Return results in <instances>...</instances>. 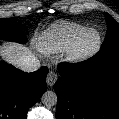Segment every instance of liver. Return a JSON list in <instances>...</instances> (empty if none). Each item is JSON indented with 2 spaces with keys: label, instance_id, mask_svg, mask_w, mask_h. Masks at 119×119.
Returning a JSON list of instances; mask_svg holds the SVG:
<instances>
[{
  "label": "liver",
  "instance_id": "liver-1",
  "mask_svg": "<svg viewBox=\"0 0 119 119\" xmlns=\"http://www.w3.org/2000/svg\"><path fill=\"white\" fill-rule=\"evenodd\" d=\"M44 44L45 41L40 37L32 40V48L14 42H4L2 47H0V57L14 66L19 67L20 63L31 56H35L36 51L40 52Z\"/></svg>",
  "mask_w": 119,
  "mask_h": 119
}]
</instances>
